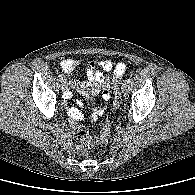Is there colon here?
Masks as SVG:
<instances>
[{
  "mask_svg": "<svg viewBox=\"0 0 195 195\" xmlns=\"http://www.w3.org/2000/svg\"><path fill=\"white\" fill-rule=\"evenodd\" d=\"M113 99V109H116L119 106L121 99L118 87L114 88ZM73 135L75 140L80 142V145L77 148L78 152L81 154H87L91 147V141L86 128L80 125L73 124ZM109 135L110 121L109 119H107L103 124L100 136L97 138V141L100 143H106L109 139Z\"/></svg>",
  "mask_w": 195,
  "mask_h": 195,
  "instance_id": "5ec220e1",
  "label": "colon"
}]
</instances>
